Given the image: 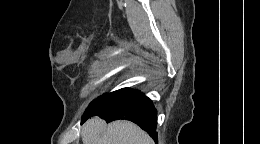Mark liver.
Masks as SVG:
<instances>
[{"label":"liver","instance_id":"liver-1","mask_svg":"<svg viewBox=\"0 0 260 144\" xmlns=\"http://www.w3.org/2000/svg\"><path fill=\"white\" fill-rule=\"evenodd\" d=\"M81 134L83 144H154L145 131L125 120L106 124L95 117L83 125Z\"/></svg>","mask_w":260,"mask_h":144}]
</instances>
